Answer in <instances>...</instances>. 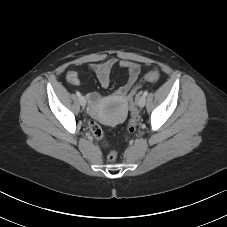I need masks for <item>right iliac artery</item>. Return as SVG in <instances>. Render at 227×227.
Wrapping results in <instances>:
<instances>
[{"instance_id":"obj_1","label":"right iliac artery","mask_w":227,"mask_h":227,"mask_svg":"<svg viewBox=\"0 0 227 227\" xmlns=\"http://www.w3.org/2000/svg\"><path fill=\"white\" fill-rule=\"evenodd\" d=\"M76 95H77L78 97H80V96H81V93H80L79 91H77V92H76Z\"/></svg>"}]
</instances>
